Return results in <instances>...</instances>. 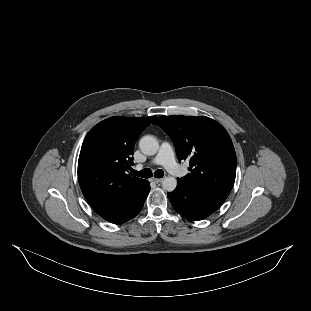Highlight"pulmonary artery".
<instances>
[{"label":"pulmonary artery","instance_id":"e3ab8cb5","mask_svg":"<svg viewBox=\"0 0 311 311\" xmlns=\"http://www.w3.org/2000/svg\"><path fill=\"white\" fill-rule=\"evenodd\" d=\"M151 164L163 166L167 171L172 172L176 165L174 151L168 142H163L157 155L152 159ZM139 168L142 165L138 166Z\"/></svg>","mask_w":311,"mask_h":311}]
</instances>
